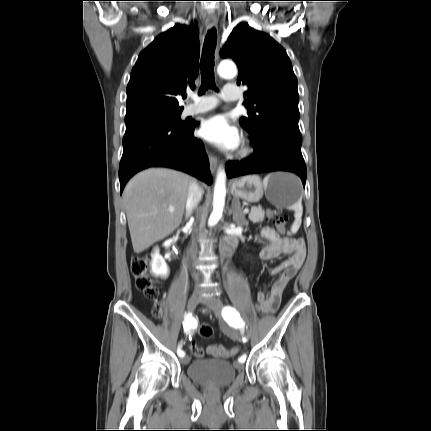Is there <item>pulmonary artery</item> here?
<instances>
[{
  "label": "pulmonary artery",
  "mask_w": 431,
  "mask_h": 431,
  "mask_svg": "<svg viewBox=\"0 0 431 431\" xmlns=\"http://www.w3.org/2000/svg\"><path fill=\"white\" fill-rule=\"evenodd\" d=\"M241 96V92L238 86L235 84H226L223 87V92L221 97L226 101H237ZM194 103L188 105L185 110V115H196L203 113L215 108L218 104V98L216 96H196L192 95Z\"/></svg>",
  "instance_id": "obj_1"
}]
</instances>
